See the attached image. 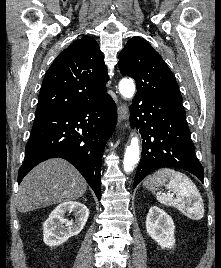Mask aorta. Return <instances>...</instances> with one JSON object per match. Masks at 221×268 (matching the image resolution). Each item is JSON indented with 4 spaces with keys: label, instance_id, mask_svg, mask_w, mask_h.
<instances>
[{
    "label": "aorta",
    "instance_id": "obj_1",
    "mask_svg": "<svg viewBox=\"0 0 221 268\" xmlns=\"http://www.w3.org/2000/svg\"><path fill=\"white\" fill-rule=\"evenodd\" d=\"M119 91L122 94V96L126 99H131L134 96L135 93V84L132 79L130 78H124L119 83ZM139 143L138 138L133 137L131 139L130 145L126 148V152L124 155V171L126 173L131 172L136 163L139 160Z\"/></svg>",
    "mask_w": 221,
    "mask_h": 268
}]
</instances>
